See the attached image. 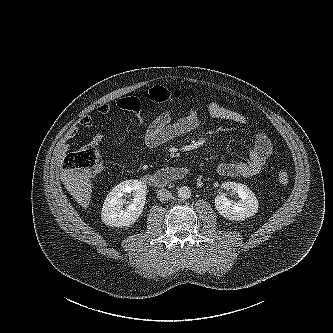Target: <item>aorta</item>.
<instances>
[{
	"label": "aorta",
	"mask_w": 333,
	"mask_h": 333,
	"mask_svg": "<svg viewBox=\"0 0 333 333\" xmlns=\"http://www.w3.org/2000/svg\"><path fill=\"white\" fill-rule=\"evenodd\" d=\"M190 196H191V190L189 189V187L181 186L178 189V197L180 199L186 200V199L190 198Z\"/></svg>",
	"instance_id": "obj_1"
}]
</instances>
